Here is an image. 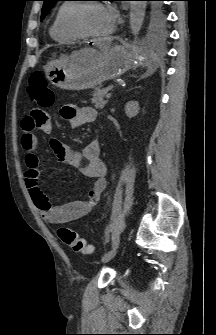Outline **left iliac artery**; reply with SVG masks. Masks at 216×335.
Returning <instances> with one entry per match:
<instances>
[{"label":"left iliac artery","instance_id":"44dca946","mask_svg":"<svg viewBox=\"0 0 216 335\" xmlns=\"http://www.w3.org/2000/svg\"><path fill=\"white\" fill-rule=\"evenodd\" d=\"M120 243V236L117 232L112 233L111 236V248L118 247Z\"/></svg>","mask_w":216,"mask_h":335}]
</instances>
